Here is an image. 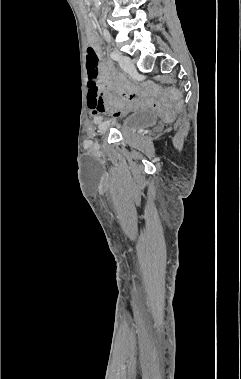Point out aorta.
I'll return each instance as SVG.
<instances>
[{"instance_id":"obj_1","label":"aorta","mask_w":241,"mask_h":379,"mask_svg":"<svg viewBox=\"0 0 241 379\" xmlns=\"http://www.w3.org/2000/svg\"><path fill=\"white\" fill-rule=\"evenodd\" d=\"M94 2H95V10H99L100 1L99 0H94Z\"/></svg>"}]
</instances>
